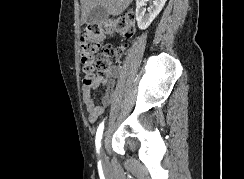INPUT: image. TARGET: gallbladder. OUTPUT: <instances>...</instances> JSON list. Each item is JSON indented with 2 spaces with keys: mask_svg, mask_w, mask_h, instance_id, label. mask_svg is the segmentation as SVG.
Here are the masks:
<instances>
[{
  "mask_svg": "<svg viewBox=\"0 0 244 179\" xmlns=\"http://www.w3.org/2000/svg\"><path fill=\"white\" fill-rule=\"evenodd\" d=\"M108 18V12L106 8H103V6H95L93 10H91L88 18H87V24H101V22H105Z\"/></svg>",
  "mask_w": 244,
  "mask_h": 179,
  "instance_id": "gallbladder-1",
  "label": "gallbladder"
}]
</instances>
